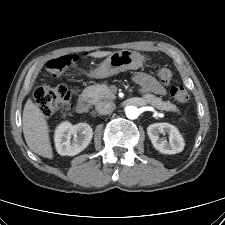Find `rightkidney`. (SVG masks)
Segmentation results:
<instances>
[{
  "mask_svg": "<svg viewBox=\"0 0 225 225\" xmlns=\"http://www.w3.org/2000/svg\"><path fill=\"white\" fill-rule=\"evenodd\" d=\"M93 131L90 125H72L62 122L55 129L54 142L57 152L62 156H74L83 151L90 143Z\"/></svg>",
  "mask_w": 225,
  "mask_h": 225,
  "instance_id": "obj_1",
  "label": "right kidney"
}]
</instances>
